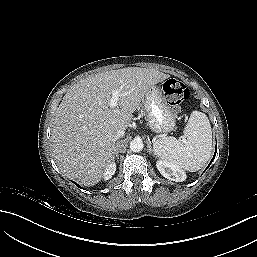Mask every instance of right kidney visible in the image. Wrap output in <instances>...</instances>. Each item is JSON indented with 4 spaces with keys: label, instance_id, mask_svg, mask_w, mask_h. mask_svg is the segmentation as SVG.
Masks as SVG:
<instances>
[{
    "label": "right kidney",
    "instance_id": "1",
    "mask_svg": "<svg viewBox=\"0 0 257 257\" xmlns=\"http://www.w3.org/2000/svg\"><path fill=\"white\" fill-rule=\"evenodd\" d=\"M115 171H116V164L114 162L109 163L104 170L103 179L109 180L112 177V175H114Z\"/></svg>",
    "mask_w": 257,
    "mask_h": 257
}]
</instances>
